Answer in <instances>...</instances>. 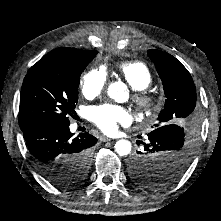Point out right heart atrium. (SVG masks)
<instances>
[{"label":"right heart atrium","mask_w":221,"mask_h":221,"mask_svg":"<svg viewBox=\"0 0 221 221\" xmlns=\"http://www.w3.org/2000/svg\"><path fill=\"white\" fill-rule=\"evenodd\" d=\"M107 84V73L102 68H93L85 72L80 81V87L86 98H95L105 89Z\"/></svg>","instance_id":"d8ad5b80"}]
</instances>
